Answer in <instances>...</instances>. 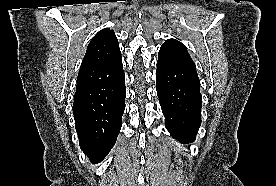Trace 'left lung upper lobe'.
<instances>
[{"label": "left lung upper lobe", "mask_w": 276, "mask_h": 186, "mask_svg": "<svg viewBox=\"0 0 276 186\" xmlns=\"http://www.w3.org/2000/svg\"><path fill=\"white\" fill-rule=\"evenodd\" d=\"M158 61L196 69L186 47L175 39H168L161 46Z\"/></svg>", "instance_id": "5c2ea615"}]
</instances>
